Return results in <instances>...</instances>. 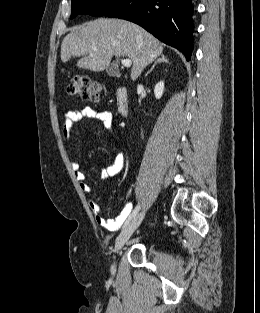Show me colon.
<instances>
[{
  "label": "colon",
  "instance_id": "colon-1",
  "mask_svg": "<svg viewBox=\"0 0 260 313\" xmlns=\"http://www.w3.org/2000/svg\"><path fill=\"white\" fill-rule=\"evenodd\" d=\"M102 87L87 77H75L67 85V93L83 100L97 101L100 97Z\"/></svg>",
  "mask_w": 260,
  "mask_h": 313
}]
</instances>
